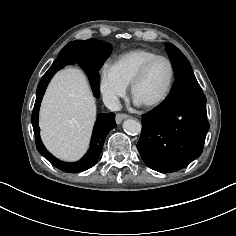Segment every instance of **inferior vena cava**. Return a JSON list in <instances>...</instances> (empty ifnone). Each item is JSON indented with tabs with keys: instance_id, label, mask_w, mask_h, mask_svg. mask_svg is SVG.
<instances>
[{
	"instance_id": "obj_1",
	"label": "inferior vena cava",
	"mask_w": 236,
	"mask_h": 236,
	"mask_svg": "<svg viewBox=\"0 0 236 236\" xmlns=\"http://www.w3.org/2000/svg\"><path fill=\"white\" fill-rule=\"evenodd\" d=\"M103 102L111 111H119L122 108L120 101L116 96H104Z\"/></svg>"
}]
</instances>
